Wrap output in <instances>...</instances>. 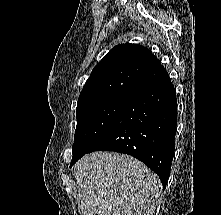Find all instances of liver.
Segmentation results:
<instances>
[{
	"label": "liver",
	"mask_w": 221,
	"mask_h": 215,
	"mask_svg": "<svg viewBox=\"0 0 221 215\" xmlns=\"http://www.w3.org/2000/svg\"><path fill=\"white\" fill-rule=\"evenodd\" d=\"M82 215H153L162 185L144 163L115 152H93L74 167Z\"/></svg>",
	"instance_id": "6515ba94"
}]
</instances>
